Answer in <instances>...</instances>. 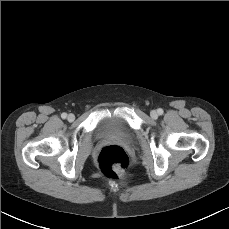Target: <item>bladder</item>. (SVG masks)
Segmentation results:
<instances>
[{"mask_svg": "<svg viewBox=\"0 0 229 229\" xmlns=\"http://www.w3.org/2000/svg\"><path fill=\"white\" fill-rule=\"evenodd\" d=\"M101 137H115L130 140L133 133L116 117H105L98 127Z\"/></svg>", "mask_w": 229, "mask_h": 229, "instance_id": "bladder-1", "label": "bladder"}]
</instances>
